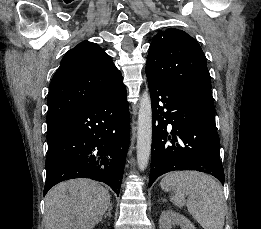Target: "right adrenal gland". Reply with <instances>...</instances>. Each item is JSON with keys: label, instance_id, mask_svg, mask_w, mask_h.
<instances>
[{"label": "right adrenal gland", "instance_id": "obj_1", "mask_svg": "<svg viewBox=\"0 0 261 229\" xmlns=\"http://www.w3.org/2000/svg\"><path fill=\"white\" fill-rule=\"evenodd\" d=\"M111 211H112V205H109V207H108V213H106V215H104L105 219H106V217H112Z\"/></svg>", "mask_w": 261, "mask_h": 229}]
</instances>
